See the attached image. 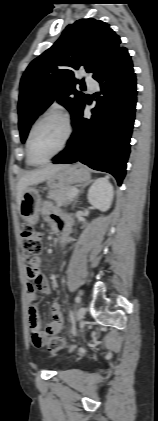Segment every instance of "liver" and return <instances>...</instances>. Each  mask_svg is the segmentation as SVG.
Here are the masks:
<instances>
[{
    "mask_svg": "<svg viewBox=\"0 0 158 421\" xmlns=\"http://www.w3.org/2000/svg\"><path fill=\"white\" fill-rule=\"evenodd\" d=\"M65 166L66 165H63V164H58V165L50 164V165L45 166L44 168L33 170L23 175L17 184L18 206L20 205L23 192L25 191L27 187L46 181L58 170H60L61 168Z\"/></svg>",
    "mask_w": 158,
    "mask_h": 421,
    "instance_id": "obj_1",
    "label": "liver"
}]
</instances>
